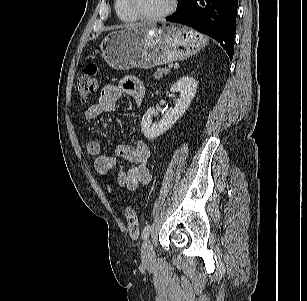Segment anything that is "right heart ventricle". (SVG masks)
<instances>
[{
	"label": "right heart ventricle",
	"instance_id": "obj_1",
	"mask_svg": "<svg viewBox=\"0 0 307 301\" xmlns=\"http://www.w3.org/2000/svg\"><path fill=\"white\" fill-rule=\"evenodd\" d=\"M114 7L118 17L122 21L126 23H133L138 20L128 6L127 0H115Z\"/></svg>",
	"mask_w": 307,
	"mask_h": 301
}]
</instances>
